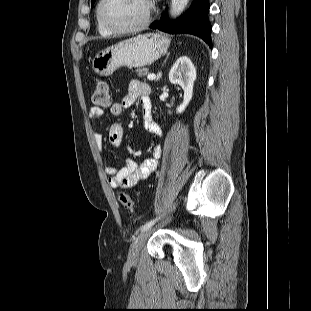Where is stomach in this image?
Returning <instances> with one entry per match:
<instances>
[{
  "mask_svg": "<svg viewBox=\"0 0 311 311\" xmlns=\"http://www.w3.org/2000/svg\"><path fill=\"white\" fill-rule=\"evenodd\" d=\"M169 45L170 39L161 33L138 35L99 52L92 68L100 76H109L120 67H144L158 60Z\"/></svg>",
  "mask_w": 311,
  "mask_h": 311,
  "instance_id": "obj_1",
  "label": "stomach"
}]
</instances>
